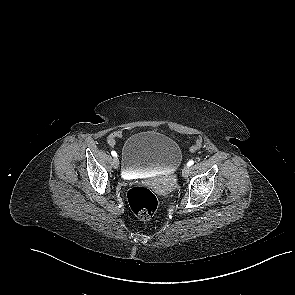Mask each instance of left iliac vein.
Instances as JSON below:
<instances>
[{
    "instance_id": "1",
    "label": "left iliac vein",
    "mask_w": 295,
    "mask_h": 295,
    "mask_svg": "<svg viewBox=\"0 0 295 295\" xmlns=\"http://www.w3.org/2000/svg\"><path fill=\"white\" fill-rule=\"evenodd\" d=\"M190 173V167L189 166H185L182 170V176L183 177H187Z\"/></svg>"
}]
</instances>
